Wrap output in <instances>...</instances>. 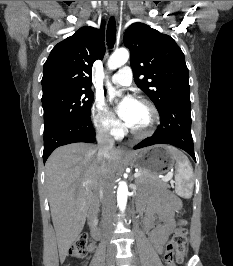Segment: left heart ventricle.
<instances>
[{"label": "left heart ventricle", "mask_w": 233, "mask_h": 266, "mask_svg": "<svg viewBox=\"0 0 233 266\" xmlns=\"http://www.w3.org/2000/svg\"><path fill=\"white\" fill-rule=\"evenodd\" d=\"M150 122L151 113L149 109L145 105L138 102L135 114V121L131 128L138 131L144 130L149 126Z\"/></svg>", "instance_id": "left-heart-ventricle-1"}]
</instances>
